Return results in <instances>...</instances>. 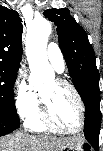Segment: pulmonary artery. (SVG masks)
<instances>
[{
	"label": "pulmonary artery",
	"mask_w": 103,
	"mask_h": 151,
	"mask_svg": "<svg viewBox=\"0 0 103 151\" xmlns=\"http://www.w3.org/2000/svg\"><path fill=\"white\" fill-rule=\"evenodd\" d=\"M47 57L56 71L63 72L65 67L64 58L61 49L56 43L51 42L48 44Z\"/></svg>",
	"instance_id": "e3ab8cb5"
}]
</instances>
